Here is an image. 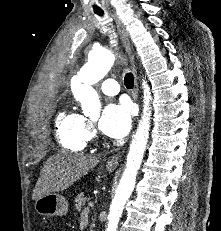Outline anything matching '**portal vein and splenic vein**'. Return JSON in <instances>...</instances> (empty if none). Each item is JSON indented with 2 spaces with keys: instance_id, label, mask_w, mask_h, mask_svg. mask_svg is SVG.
I'll return each mask as SVG.
<instances>
[{
  "instance_id": "portal-vein-and-splenic-vein-1",
  "label": "portal vein and splenic vein",
  "mask_w": 221,
  "mask_h": 231,
  "mask_svg": "<svg viewBox=\"0 0 221 231\" xmlns=\"http://www.w3.org/2000/svg\"><path fill=\"white\" fill-rule=\"evenodd\" d=\"M93 206V202L92 201H89L88 202V207H87V209L89 208V207H92Z\"/></svg>"
}]
</instances>
